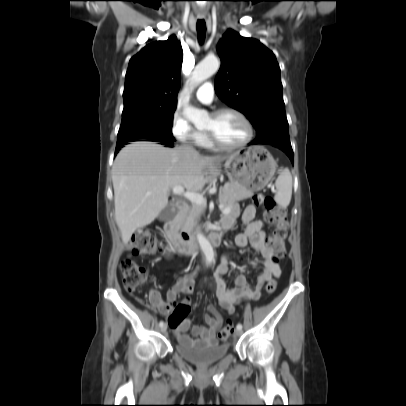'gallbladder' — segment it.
<instances>
[{"label":"gallbladder","mask_w":406,"mask_h":406,"mask_svg":"<svg viewBox=\"0 0 406 406\" xmlns=\"http://www.w3.org/2000/svg\"><path fill=\"white\" fill-rule=\"evenodd\" d=\"M175 216V212L173 211V203L170 202L168 205L160 212L158 215V219L160 221L170 220Z\"/></svg>","instance_id":"1"}]
</instances>
